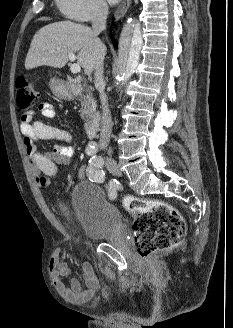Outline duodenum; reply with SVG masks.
I'll return each mask as SVG.
<instances>
[{"mask_svg": "<svg viewBox=\"0 0 233 328\" xmlns=\"http://www.w3.org/2000/svg\"><path fill=\"white\" fill-rule=\"evenodd\" d=\"M81 90V86L78 84H71L69 86V93L76 94ZM87 132L90 136H94L98 130V121L96 117L92 116L86 123Z\"/></svg>", "mask_w": 233, "mask_h": 328, "instance_id": "410a0bca", "label": "duodenum"}]
</instances>
